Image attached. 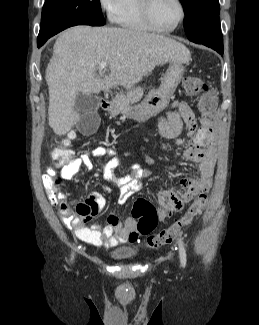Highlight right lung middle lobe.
Wrapping results in <instances>:
<instances>
[{
	"label": "right lung middle lobe",
	"instance_id": "obj_1",
	"mask_svg": "<svg viewBox=\"0 0 259 325\" xmlns=\"http://www.w3.org/2000/svg\"><path fill=\"white\" fill-rule=\"evenodd\" d=\"M105 23L100 0H46L37 41L49 39L71 26H102Z\"/></svg>",
	"mask_w": 259,
	"mask_h": 325
}]
</instances>
